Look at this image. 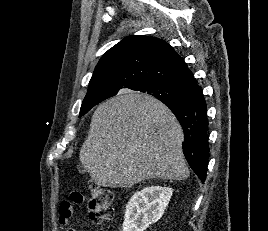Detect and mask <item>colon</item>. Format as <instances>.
<instances>
[{"label":"colon","mask_w":268,"mask_h":231,"mask_svg":"<svg viewBox=\"0 0 268 231\" xmlns=\"http://www.w3.org/2000/svg\"><path fill=\"white\" fill-rule=\"evenodd\" d=\"M112 192L96 183L89 186L88 210L91 220L95 223H103L113 214Z\"/></svg>","instance_id":"5ec220e1"}]
</instances>
